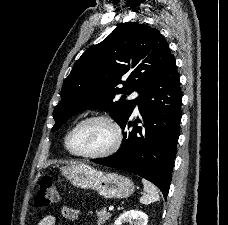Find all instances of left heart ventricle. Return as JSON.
<instances>
[{"label": "left heart ventricle", "mask_w": 228, "mask_h": 225, "mask_svg": "<svg viewBox=\"0 0 228 225\" xmlns=\"http://www.w3.org/2000/svg\"><path fill=\"white\" fill-rule=\"evenodd\" d=\"M113 142L111 129L100 121H89L79 126L70 136V149L76 153H99Z\"/></svg>", "instance_id": "obj_1"}]
</instances>
